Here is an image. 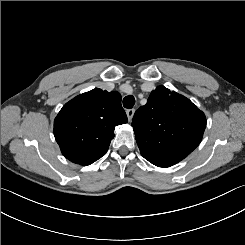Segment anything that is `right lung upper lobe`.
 Listing matches in <instances>:
<instances>
[{
    "mask_svg": "<svg viewBox=\"0 0 245 245\" xmlns=\"http://www.w3.org/2000/svg\"><path fill=\"white\" fill-rule=\"evenodd\" d=\"M127 121L118 92L93 89L62 107L54 120V136L68 160L86 166L106 154L115 126Z\"/></svg>",
    "mask_w": 245,
    "mask_h": 245,
    "instance_id": "cb5924a9",
    "label": "right lung upper lobe"
}]
</instances>
